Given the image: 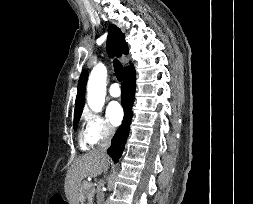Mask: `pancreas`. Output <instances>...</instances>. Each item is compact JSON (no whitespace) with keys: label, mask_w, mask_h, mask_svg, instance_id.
<instances>
[{"label":"pancreas","mask_w":253,"mask_h":204,"mask_svg":"<svg viewBox=\"0 0 253 204\" xmlns=\"http://www.w3.org/2000/svg\"><path fill=\"white\" fill-rule=\"evenodd\" d=\"M80 191L84 201H87V204H92L93 196L95 194L94 185L87 181H83L80 186Z\"/></svg>","instance_id":"1"}]
</instances>
